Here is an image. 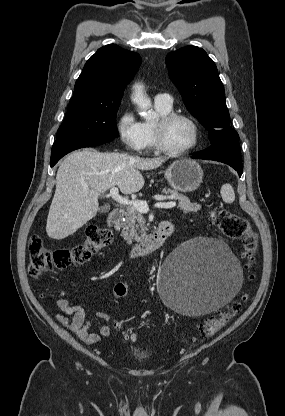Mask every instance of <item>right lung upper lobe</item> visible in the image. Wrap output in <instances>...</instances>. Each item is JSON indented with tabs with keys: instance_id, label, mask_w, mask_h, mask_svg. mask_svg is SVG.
<instances>
[{
	"instance_id": "cb5924a9",
	"label": "right lung upper lobe",
	"mask_w": 285,
	"mask_h": 416,
	"mask_svg": "<svg viewBox=\"0 0 285 416\" xmlns=\"http://www.w3.org/2000/svg\"><path fill=\"white\" fill-rule=\"evenodd\" d=\"M141 64L139 54L109 44L86 62L72 99L86 102L121 100L126 84Z\"/></svg>"
}]
</instances>
